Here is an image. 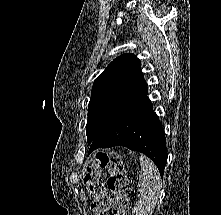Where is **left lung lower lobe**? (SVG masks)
I'll return each instance as SVG.
<instances>
[{"label":"left lung lower lobe","mask_w":221,"mask_h":215,"mask_svg":"<svg viewBox=\"0 0 221 215\" xmlns=\"http://www.w3.org/2000/svg\"><path fill=\"white\" fill-rule=\"evenodd\" d=\"M112 146H125L147 155L163 177L167 163L165 136L147 94L92 141L88 154L98 148Z\"/></svg>","instance_id":"1"}]
</instances>
